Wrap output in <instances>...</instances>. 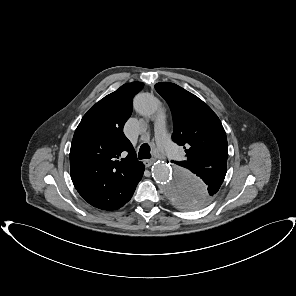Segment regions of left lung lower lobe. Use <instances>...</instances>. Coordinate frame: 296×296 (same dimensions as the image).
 I'll list each match as a JSON object with an SVG mask.
<instances>
[{
	"mask_svg": "<svg viewBox=\"0 0 296 296\" xmlns=\"http://www.w3.org/2000/svg\"><path fill=\"white\" fill-rule=\"evenodd\" d=\"M227 169V168H226ZM226 169L221 168L220 171L218 172H211V168H205L203 172L199 173V176L202 178V180L206 183L207 185V190L206 191H197L195 196H196V204L198 205H206L207 202V195L206 193H210L212 195H215L224 178L226 175Z\"/></svg>",
	"mask_w": 296,
	"mask_h": 296,
	"instance_id": "0a47b994",
	"label": "left lung lower lobe"
}]
</instances>
